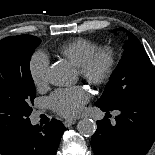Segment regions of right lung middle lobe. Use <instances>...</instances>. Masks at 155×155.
Segmentation results:
<instances>
[{"instance_id":"dd1d6c3e","label":"right lung middle lobe","mask_w":155,"mask_h":155,"mask_svg":"<svg viewBox=\"0 0 155 155\" xmlns=\"http://www.w3.org/2000/svg\"><path fill=\"white\" fill-rule=\"evenodd\" d=\"M41 40L32 35L0 41V142L30 124L36 89L29 62Z\"/></svg>"}]
</instances>
